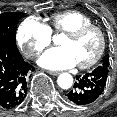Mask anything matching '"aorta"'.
<instances>
[{
  "label": "aorta",
  "instance_id": "762f6f07",
  "mask_svg": "<svg viewBox=\"0 0 117 117\" xmlns=\"http://www.w3.org/2000/svg\"><path fill=\"white\" fill-rule=\"evenodd\" d=\"M57 84L60 88L67 90L73 84V77L69 73H62L58 76Z\"/></svg>",
  "mask_w": 117,
  "mask_h": 117
}]
</instances>
